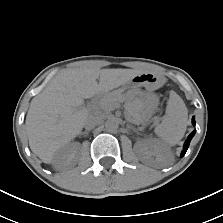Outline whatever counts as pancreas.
I'll return each instance as SVG.
<instances>
[{"instance_id": "cf45deb5", "label": "pancreas", "mask_w": 223, "mask_h": 223, "mask_svg": "<svg viewBox=\"0 0 223 223\" xmlns=\"http://www.w3.org/2000/svg\"><path fill=\"white\" fill-rule=\"evenodd\" d=\"M122 99L121 91H113L106 93L100 98L97 102V110L111 111L119 106V103ZM146 125V124H144Z\"/></svg>"}]
</instances>
